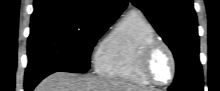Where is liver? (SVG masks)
Masks as SVG:
<instances>
[{"mask_svg": "<svg viewBox=\"0 0 220 91\" xmlns=\"http://www.w3.org/2000/svg\"><path fill=\"white\" fill-rule=\"evenodd\" d=\"M35 91H143L139 87L121 80L103 77L77 76L57 72L45 78Z\"/></svg>", "mask_w": 220, "mask_h": 91, "instance_id": "obj_1", "label": "liver"}]
</instances>
